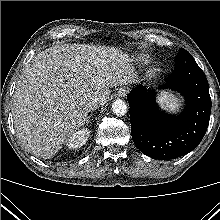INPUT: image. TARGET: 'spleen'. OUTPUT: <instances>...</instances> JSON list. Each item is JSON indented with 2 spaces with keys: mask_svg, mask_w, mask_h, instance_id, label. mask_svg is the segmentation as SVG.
Masks as SVG:
<instances>
[{
  "mask_svg": "<svg viewBox=\"0 0 220 220\" xmlns=\"http://www.w3.org/2000/svg\"><path fill=\"white\" fill-rule=\"evenodd\" d=\"M158 101L161 104L162 108L176 112L179 109V99L176 98L174 95L169 94L168 92H162L158 96Z\"/></svg>",
  "mask_w": 220,
  "mask_h": 220,
  "instance_id": "3e777b00",
  "label": "spleen"
}]
</instances>
